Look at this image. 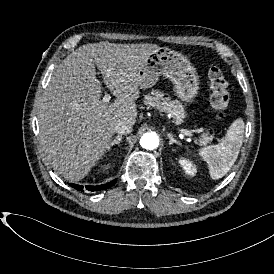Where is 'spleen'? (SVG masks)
<instances>
[{
    "mask_svg": "<svg viewBox=\"0 0 274 274\" xmlns=\"http://www.w3.org/2000/svg\"><path fill=\"white\" fill-rule=\"evenodd\" d=\"M244 121L237 118L228 127L226 136L216 145L198 149V157L208 166V172L213 180L222 178L233 166L242 145Z\"/></svg>",
    "mask_w": 274,
    "mask_h": 274,
    "instance_id": "3e777b00",
    "label": "spleen"
}]
</instances>
